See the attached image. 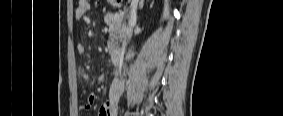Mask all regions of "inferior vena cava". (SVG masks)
Here are the masks:
<instances>
[{"instance_id": "602c4592", "label": "inferior vena cava", "mask_w": 283, "mask_h": 116, "mask_svg": "<svg viewBox=\"0 0 283 116\" xmlns=\"http://www.w3.org/2000/svg\"><path fill=\"white\" fill-rule=\"evenodd\" d=\"M138 0H132L131 3V10H130V17H129V28L127 31L128 39L132 36L133 26L136 23V10H137Z\"/></svg>"}]
</instances>
